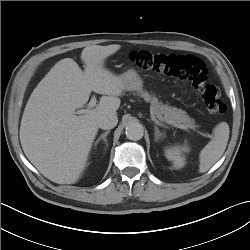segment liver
I'll return each instance as SVG.
<instances>
[{"instance_id":"1","label":"liver","mask_w":250,"mask_h":250,"mask_svg":"<svg viewBox=\"0 0 250 250\" xmlns=\"http://www.w3.org/2000/svg\"><path fill=\"white\" fill-rule=\"evenodd\" d=\"M119 44L85 47L82 71L72 58L58 61L33 90L23 112L20 142L36 169L58 184H73L84 171L102 116L116 115L123 79L104 67ZM103 95L98 105L83 115L91 92ZM107 95V96H106Z\"/></svg>"}]
</instances>
